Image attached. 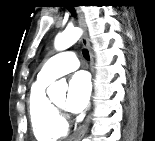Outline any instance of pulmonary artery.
<instances>
[{
	"label": "pulmonary artery",
	"instance_id": "obj_1",
	"mask_svg": "<svg viewBox=\"0 0 155 141\" xmlns=\"http://www.w3.org/2000/svg\"><path fill=\"white\" fill-rule=\"evenodd\" d=\"M79 60L75 53L66 50L51 57L38 74L42 80L52 81L55 78L76 70Z\"/></svg>",
	"mask_w": 155,
	"mask_h": 141
}]
</instances>
